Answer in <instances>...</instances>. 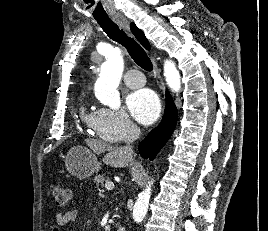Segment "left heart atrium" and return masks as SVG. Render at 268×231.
<instances>
[{"instance_id":"left-heart-atrium-1","label":"left heart atrium","mask_w":268,"mask_h":231,"mask_svg":"<svg viewBox=\"0 0 268 231\" xmlns=\"http://www.w3.org/2000/svg\"><path fill=\"white\" fill-rule=\"evenodd\" d=\"M126 106L130 115L144 125L154 123L161 112L158 96L149 89L130 93L126 99Z\"/></svg>"}]
</instances>
